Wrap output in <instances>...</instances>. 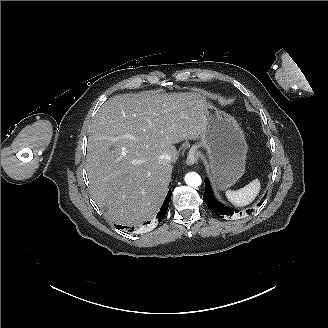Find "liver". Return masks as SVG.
Segmentation results:
<instances>
[{"label": "liver", "mask_w": 328, "mask_h": 328, "mask_svg": "<svg viewBox=\"0 0 328 328\" xmlns=\"http://www.w3.org/2000/svg\"><path fill=\"white\" fill-rule=\"evenodd\" d=\"M206 104L198 92L145 91L101 106L89 129L85 169L105 217L133 226L156 214L178 159L174 144L200 138Z\"/></svg>", "instance_id": "1"}]
</instances>
